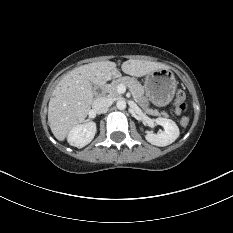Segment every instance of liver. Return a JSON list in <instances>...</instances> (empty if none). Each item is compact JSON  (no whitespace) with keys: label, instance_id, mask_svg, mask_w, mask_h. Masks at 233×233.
<instances>
[{"label":"liver","instance_id":"liver-1","mask_svg":"<svg viewBox=\"0 0 233 233\" xmlns=\"http://www.w3.org/2000/svg\"><path fill=\"white\" fill-rule=\"evenodd\" d=\"M121 69L125 74L141 77L169 66L130 59L123 62ZM119 76L116 63L111 61L93 62L70 71L55 87L49 101L48 124L55 138L64 140L74 127L84 122L93 102L92 84L103 86Z\"/></svg>","mask_w":233,"mask_h":233}]
</instances>
